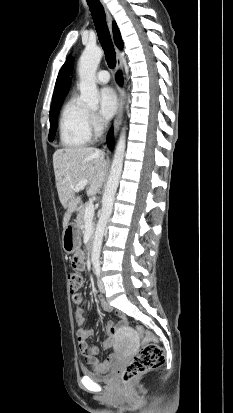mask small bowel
I'll use <instances>...</instances> for the list:
<instances>
[{
	"mask_svg": "<svg viewBox=\"0 0 233 413\" xmlns=\"http://www.w3.org/2000/svg\"><path fill=\"white\" fill-rule=\"evenodd\" d=\"M83 249L77 248L76 253H73L69 261L72 264V268L75 270L76 273H83L85 270V264L83 262ZM95 299L99 302L101 308L106 312H111L112 307L106 302V300L99 294H94ZM72 300L74 305L76 306L75 311V320L77 325V339H78V346L80 349L81 354L86 359L87 363L92 365L93 368L97 371H105L109 365L114 361L115 355L110 354L107 358L100 362L96 358V354L99 352V346H89L87 343V339L94 335V331L86 325V316L84 314L83 309L80 307L83 301V295L80 291L74 293L72 295ZM119 324L116 323H109L107 326V332L111 335H115L118 330ZM115 345V339L113 337L108 338L102 344L103 348L109 349Z\"/></svg>",
	"mask_w": 233,
	"mask_h": 413,
	"instance_id": "small-bowel-1",
	"label": "small bowel"
}]
</instances>
